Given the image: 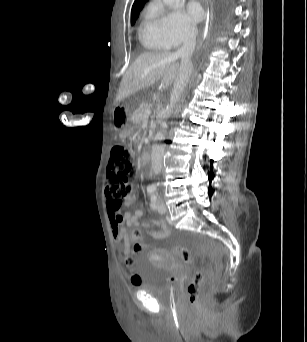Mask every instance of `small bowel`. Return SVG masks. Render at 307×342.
<instances>
[{
	"mask_svg": "<svg viewBox=\"0 0 307 342\" xmlns=\"http://www.w3.org/2000/svg\"><path fill=\"white\" fill-rule=\"evenodd\" d=\"M132 202L133 197H129L127 203L130 204ZM142 216L143 212L140 209L136 210L133 214L126 212L118 215L114 214L111 210L109 212L113 241L116 245L123 246L125 255L130 254L127 252L126 246L128 238L127 229H143V231L149 233V235L156 240L165 239L169 234L168 228L163 220L158 222L141 221Z\"/></svg>",
	"mask_w": 307,
	"mask_h": 342,
	"instance_id": "obj_1",
	"label": "small bowel"
}]
</instances>
